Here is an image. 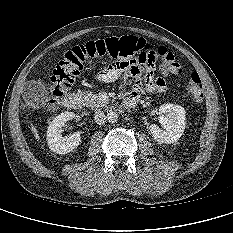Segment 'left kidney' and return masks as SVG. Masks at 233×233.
Wrapping results in <instances>:
<instances>
[{
  "label": "left kidney",
  "mask_w": 233,
  "mask_h": 233,
  "mask_svg": "<svg viewBox=\"0 0 233 233\" xmlns=\"http://www.w3.org/2000/svg\"><path fill=\"white\" fill-rule=\"evenodd\" d=\"M161 128L156 124L149 126V133L160 143L177 142L186 127L185 110L180 105L164 104L159 108Z\"/></svg>",
  "instance_id": "1"
}]
</instances>
